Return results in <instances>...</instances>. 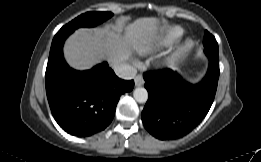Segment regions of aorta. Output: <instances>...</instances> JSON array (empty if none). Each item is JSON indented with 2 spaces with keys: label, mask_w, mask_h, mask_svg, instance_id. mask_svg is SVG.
I'll return each mask as SVG.
<instances>
[{
  "label": "aorta",
  "mask_w": 261,
  "mask_h": 162,
  "mask_svg": "<svg viewBox=\"0 0 261 162\" xmlns=\"http://www.w3.org/2000/svg\"><path fill=\"white\" fill-rule=\"evenodd\" d=\"M133 96L138 103H145L148 100V92L144 87H137L133 92Z\"/></svg>",
  "instance_id": "1"
}]
</instances>
